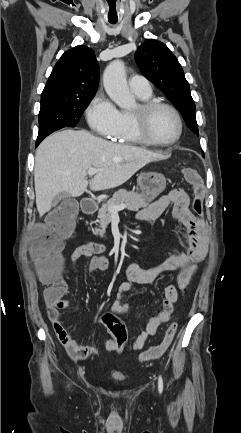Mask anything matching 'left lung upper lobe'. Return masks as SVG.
Wrapping results in <instances>:
<instances>
[{"label": "left lung upper lobe", "instance_id": "5c2ea615", "mask_svg": "<svg viewBox=\"0 0 241 433\" xmlns=\"http://www.w3.org/2000/svg\"><path fill=\"white\" fill-rule=\"evenodd\" d=\"M135 60L141 73L180 110L187 126L198 135L195 104L175 55L164 43L148 39L137 49Z\"/></svg>", "mask_w": 241, "mask_h": 433}]
</instances>
